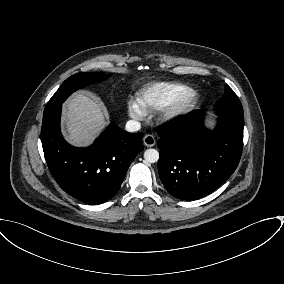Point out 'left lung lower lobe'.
Segmentation results:
<instances>
[{"instance_id":"left-lung-lower-lobe-1","label":"left lung lower lobe","mask_w":284,"mask_h":284,"mask_svg":"<svg viewBox=\"0 0 284 284\" xmlns=\"http://www.w3.org/2000/svg\"><path fill=\"white\" fill-rule=\"evenodd\" d=\"M218 124L203 125L204 110L157 128L158 172L167 191L183 200L206 196L235 171L243 148V109L215 106Z\"/></svg>"}]
</instances>
